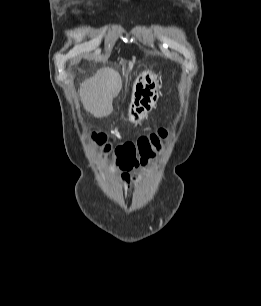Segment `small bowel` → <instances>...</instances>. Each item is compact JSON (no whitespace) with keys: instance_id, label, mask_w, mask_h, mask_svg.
Instances as JSON below:
<instances>
[{"instance_id":"small-bowel-1","label":"small bowel","mask_w":261,"mask_h":306,"mask_svg":"<svg viewBox=\"0 0 261 306\" xmlns=\"http://www.w3.org/2000/svg\"><path fill=\"white\" fill-rule=\"evenodd\" d=\"M120 183L126 192H129L133 185H137L141 181V175L138 172L128 173L121 172L119 175Z\"/></svg>"}]
</instances>
